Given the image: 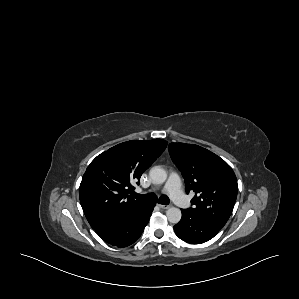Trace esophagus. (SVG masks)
<instances>
[{
    "mask_svg": "<svg viewBox=\"0 0 299 299\" xmlns=\"http://www.w3.org/2000/svg\"><path fill=\"white\" fill-rule=\"evenodd\" d=\"M158 206L161 208V209H169L171 206L170 205H163V204H158Z\"/></svg>",
    "mask_w": 299,
    "mask_h": 299,
    "instance_id": "obj_1",
    "label": "esophagus"
}]
</instances>
